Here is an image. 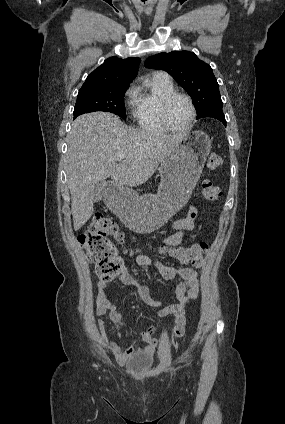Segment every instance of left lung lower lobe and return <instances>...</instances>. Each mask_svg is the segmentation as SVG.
Returning <instances> with one entry per match:
<instances>
[{
  "label": "left lung lower lobe",
  "instance_id": "0a47b994",
  "mask_svg": "<svg viewBox=\"0 0 285 424\" xmlns=\"http://www.w3.org/2000/svg\"><path fill=\"white\" fill-rule=\"evenodd\" d=\"M203 117L215 118L221 121L226 126V120L222 108H214L208 111ZM201 117V118H203Z\"/></svg>",
  "mask_w": 285,
  "mask_h": 424
}]
</instances>
